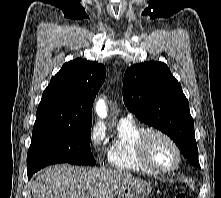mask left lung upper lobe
Listing matches in <instances>:
<instances>
[{
    "mask_svg": "<svg viewBox=\"0 0 221 198\" xmlns=\"http://www.w3.org/2000/svg\"><path fill=\"white\" fill-rule=\"evenodd\" d=\"M123 100L130 112L170 136L183 156L200 168L189 103L166 64L150 61L128 68Z\"/></svg>",
    "mask_w": 221,
    "mask_h": 198,
    "instance_id": "obj_1",
    "label": "left lung upper lobe"
}]
</instances>
